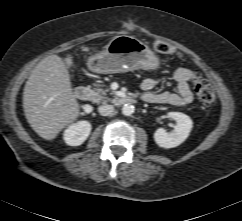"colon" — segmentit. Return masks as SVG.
<instances>
[{"label":"colon","mask_w":242,"mask_h":221,"mask_svg":"<svg viewBox=\"0 0 242 221\" xmlns=\"http://www.w3.org/2000/svg\"><path fill=\"white\" fill-rule=\"evenodd\" d=\"M155 51L163 54H176L177 50L170 44L165 42H155L153 45ZM192 85L198 99L204 104H211L215 100V91L213 86L202 77V75L195 71L192 76Z\"/></svg>","instance_id":"1"}]
</instances>
